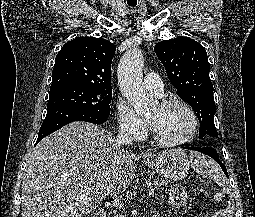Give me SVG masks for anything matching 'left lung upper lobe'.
<instances>
[{"instance_id": "5c2ea615", "label": "left lung upper lobe", "mask_w": 255, "mask_h": 217, "mask_svg": "<svg viewBox=\"0 0 255 217\" xmlns=\"http://www.w3.org/2000/svg\"><path fill=\"white\" fill-rule=\"evenodd\" d=\"M154 50L177 94L196 113L200 122L199 138L217 139L213 85L205 48L193 39L179 36L159 42Z\"/></svg>"}]
</instances>
